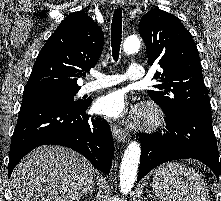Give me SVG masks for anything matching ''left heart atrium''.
Returning <instances> with one entry per match:
<instances>
[{
    "instance_id": "left-heart-atrium-1",
    "label": "left heart atrium",
    "mask_w": 221,
    "mask_h": 201,
    "mask_svg": "<svg viewBox=\"0 0 221 201\" xmlns=\"http://www.w3.org/2000/svg\"><path fill=\"white\" fill-rule=\"evenodd\" d=\"M96 110L109 118L138 116L136 109L130 107L123 90H115L101 96L96 102Z\"/></svg>"
}]
</instances>
